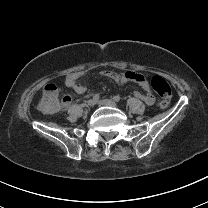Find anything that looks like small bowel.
Instances as JSON below:
<instances>
[{
    "label": "small bowel",
    "mask_w": 208,
    "mask_h": 208,
    "mask_svg": "<svg viewBox=\"0 0 208 208\" xmlns=\"http://www.w3.org/2000/svg\"><path fill=\"white\" fill-rule=\"evenodd\" d=\"M102 75L108 79L124 83L127 81H133L139 84V86L142 88L143 92H135V97L143 100L147 105H152L155 101V98L150 91L149 83L146 80V78L138 73L134 72H116L113 70H104L102 72ZM87 76V72L81 71V72H75L71 73L66 76L65 78V84L70 87L73 91H75L78 94H82L85 92L86 88L85 86L80 82V80ZM54 87V85L49 84L46 87ZM55 88V87H54ZM72 97V94L69 91H66L64 93L63 101L61 103V107L63 109H66L68 107L69 101Z\"/></svg>",
    "instance_id": "1"
}]
</instances>
